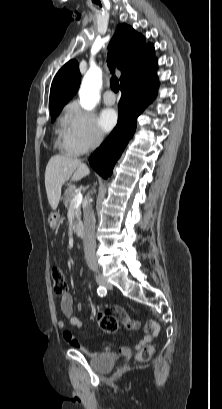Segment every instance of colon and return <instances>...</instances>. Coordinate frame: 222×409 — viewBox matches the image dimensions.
<instances>
[{"label":"colon","instance_id":"colon-1","mask_svg":"<svg viewBox=\"0 0 222 409\" xmlns=\"http://www.w3.org/2000/svg\"><path fill=\"white\" fill-rule=\"evenodd\" d=\"M51 280H52V289L56 295H64L67 293V281L65 274L59 267H53L51 270ZM98 323L101 329L106 332H115L117 330V323L111 319V314L108 311H105L102 314H99ZM152 352L151 346L144 347L138 354V359L140 361H146Z\"/></svg>","mask_w":222,"mask_h":409}]
</instances>
